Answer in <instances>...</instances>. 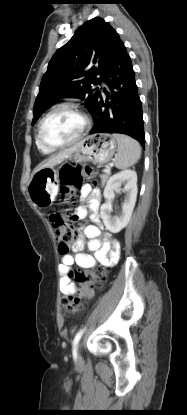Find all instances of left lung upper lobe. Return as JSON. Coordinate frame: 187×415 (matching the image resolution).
<instances>
[{"label":"left lung upper lobe","instance_id":"obj_1","mask_svg":"<svg viewBox=\"0 0 187 415\" xmlns=\"http://www.w3.org/2000/svg\"><path fill=\"white\" fill-rule=\"evenodd\" d=\"M118 33L102 18L96 17L77 29L68 43L51 58L34 105V124L58 99L76 97L85 101L92 114L100 91L94 85L102 73ZM100 75V78L98 76Z\"/></svg>","mask_w":187,"mask_h":415}]
</instances>
